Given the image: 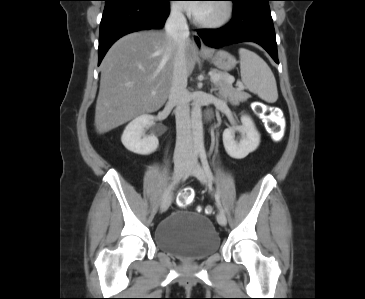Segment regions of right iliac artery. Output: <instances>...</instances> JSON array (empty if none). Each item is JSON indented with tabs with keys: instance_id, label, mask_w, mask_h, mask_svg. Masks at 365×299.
<instances>
[{
	"instance_id": "1",
	"label": "right iliac artery",
	"mask_w": 365,
	"mask_h": 299,
	"mask_svg": "<svg viewBox=\"0 0 365 299\" xmlns=\"http://www.w3.org/2000/svg\"><path fill=\"white\" fill-rule=\"evenodd\" d=\"M198 154H199V151L198 150H195L194 153H193V158H192V165L196 164L197 161H198ZM180 179V178H179ZM178 179V180H179ZM175 184V181L170 184L168 186V188L165 190L164 194H163V200L170 194L172 188H173V185Z\"/></svg>"
}]
</instances>
